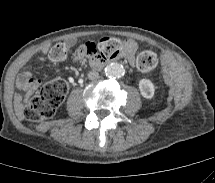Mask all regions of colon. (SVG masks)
I'll return each instance as SVG.
<instances>
[{
	"label": "colon",
	"mask_w": 215,
	"mask_h": 183,
	"mask_svg": "<svg viewBox=\"0 0 215 183\" xmlns=\"http://www.w3.org/2000/svg\"><path fill=\"white\" fill-rule=\"evenodd\" d=\"M81 51L96 59H113L123 51L122 42L113 37H105L97 42H88L81 46ZM70 54V47L65 42L52 46L49 57L53 62H61ZM137 67L142 72L153 71L158 63L154 52L145 50L137 55ZM68 91L65 80L55 79L44 84L36 95L31 97L21 108V116L29 121L41 122L51 118L63 102Z\"/></svg>",
	"instance_id": "colon-1"
}]
</instances>
